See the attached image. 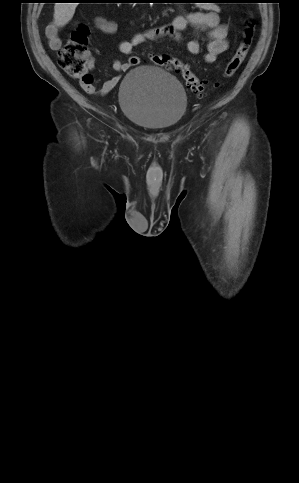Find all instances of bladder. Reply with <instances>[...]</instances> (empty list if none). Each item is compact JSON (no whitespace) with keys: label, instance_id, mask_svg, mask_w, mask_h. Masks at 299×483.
Wrapping results in <instances>:
<instances>
[{"label":"bladder","instance_id":"1","mask_svg":"<svg viewBox=\"0 0 299 483\" xmlns=\"http://www.w3.org/2000/svg\"><path fill=\"white\" fill-rule=\"evenodd\" d=\"M118 101L123 115L150 130H166L185 115L188 99L182 83L151 65L132 68L122 79Z\"/></svg>","mask_w":299,"mask_h":483}]
</instances>
